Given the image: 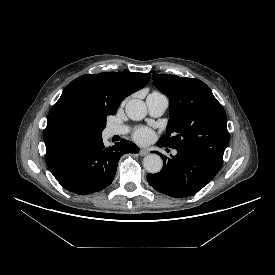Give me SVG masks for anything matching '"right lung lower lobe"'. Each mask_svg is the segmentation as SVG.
I'll return each mask as SVG.
<instances>
[{"instance_id":"obj_1","label":"right lung lower lobe","mask_w":275,"mask_h":275,"mask_svg":"<svg viewBox=\"0 0 275 275\" xmlns=\"http://www.w3.org/2000/svg\"><path fill=\"white\" fill-rule=\"evenodd\" d=\"M139 148L123 139L105 147L102 136L59 141L46 146L45 160L56 180L67 190L87 195L109 186L120 157Z\"/></svg>"}]
</instances>
